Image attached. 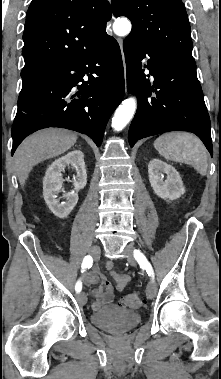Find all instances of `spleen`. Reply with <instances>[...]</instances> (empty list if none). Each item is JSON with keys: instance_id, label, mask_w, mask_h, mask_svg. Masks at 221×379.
<instances>
[{"instance_id": "spleen-1", "label": "spleen", "mask_w": 221, "mask_h": 379, "mask_svg": "<svg viewBox=\"0 0 221 379\" xmlns=\"http://www.w3.org/2000/svg\"><path fill=\"white\" fill-rule=\"evenodd\" d=\"M154 147L166 160L191 165L202 176L207 174V150L194 135L182 132L165 133L155 140Z\"/></svg>"}]
</instances>
